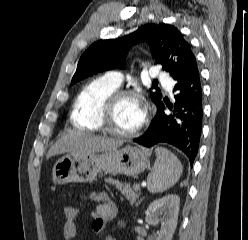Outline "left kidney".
Listing matches in <instances>:
<instances>
[{
    "mask_svg": "<svg viewBox=\"0 0 248 240\" xmlns=\"http://www.w3.org/2000/svg\"><path fill=\"white\" fill-rule=\"evenodd\" d=\"M179 205L180 198L171 194L153 201L147 208L145 221L148 224L156 225L161 221L160 233L156 240H172L177 226Z\"/></svg>",
    "mask_w": 248,
    "mask_h": 240,
    "instance_id": "1",
    "label": "left kidney"
}]
</instances>
